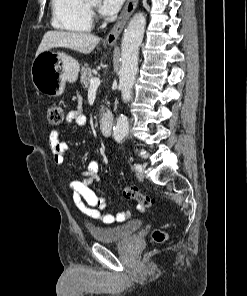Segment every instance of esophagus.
<instances>
[{"label": "esophagus", "instance_id": "obj_1", "mask_svg": "<svg viewBox=\"0 0 247 296\" xmlns=\"http://www.w3.org/2000/svg\"><path fill=\"white\" fill-rule=\"evenodd\" d=\"M139 0H127L118 20L106 37L107 44H114L123 31L127 21L137 7Z\"/></svg>", "mask_w": 247, "mask_h": 296}]
</instances>
